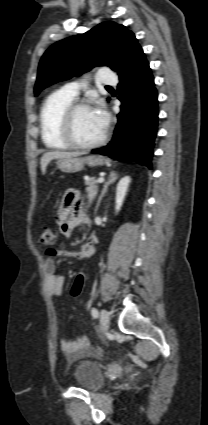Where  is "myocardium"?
<instances>
[{
  "mask_svg": "<svg viewBox=\"0 0 208 425\" xmlns=\"http://www.w3.org/2000/svg\"><path fill=\"white\" fill-rule=\"evenodd\" d=\"M84 109H92L91 106L84 102H73L63 113L61 120V135L63 139L74 149L90 150L101 146L105 143L108 131L105 128L102 136L95 142L82 143L78 141L74 135L73 125L74 118L78 111Z\"/></svg>",
  "mask_w": 208,
  "mask_h": 425,
  "instance_id": "f54148a6",
  "label": "myocardium"
}]
</instances>
